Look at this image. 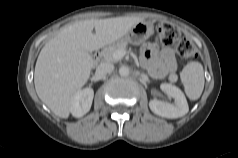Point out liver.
<instances>
[{
    "mask_svg": "<svg viewBox=\"0 0 238 158\" xmlns=\"http://www.w3.org/2000/svg\"><path fill=\"white\" fill-rule=\"evenodd\" d=\"M141 21L139 17H115L62 27L44 45L35 65L34 84L40 100L58 117L68 118L75 94L90 77L94 61L89 52L121 39Z\"/></svg>",
    "mask_w": 238,
    "mask_h": 158,
    "instance_id": "obj_1",
    "label": "liver"
}]
</instances>
